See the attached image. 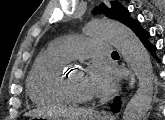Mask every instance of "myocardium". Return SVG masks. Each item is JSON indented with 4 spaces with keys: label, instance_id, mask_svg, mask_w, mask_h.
<instances>
[{
    "label": "myocardium",
    "instance_id": "myocardium-1",
    "mask_svg": "<svg viewBox=\"0 0 165 120\" xmlns=\"http://www.w3.org/2000/svg\"><path fill=\"white\" fill-rule=\"evenodd\" d=\"M61 87L66 97L72 102L93 103L95 101L94 97H87V96L80 95L73 89L69 80L68 70H65L63 73Z\"/></svg>",
    "mask_w": 165,
    "mask_h": 120
}]
</instances>
